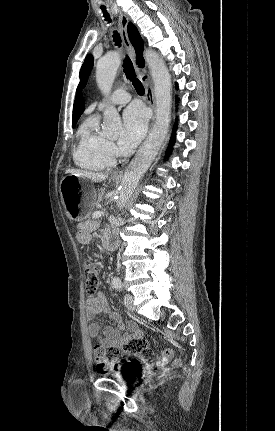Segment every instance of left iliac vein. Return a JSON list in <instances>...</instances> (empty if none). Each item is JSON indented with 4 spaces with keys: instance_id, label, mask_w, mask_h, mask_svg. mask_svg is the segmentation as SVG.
I'll return each instance as SVG.
<instances>
[{
    "instance_id": "obj_1",
    "label": "left iliac vein",
    "mask_w": 275,
    "mask_h": 431,
    "mask_svg": "<svg viewBox=\"0 0 275 431\" xmlns=\"http://www.w3.org/2000/svg\"><path fill=\"white\" fill-rule=\"evenodd\" d=\"M133 301H134V299H133V296H132V295H130V294H125V296H124V304H125V307H126L129 311H131V312H133V311H134Z\"/></svg>"
}]
</instances>
